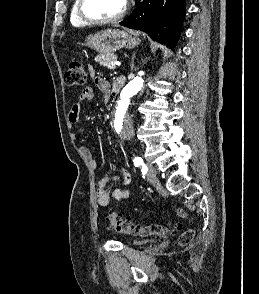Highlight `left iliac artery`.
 <instances>
[{
	"label": "left iliac artery",
	"mask_w": 259,
	"mask_h": 294,
	"mask_svg": "<svg viewBox=\"0 0 259 294\" xmlns=\"http://www.w3.org/2000/svg\"><path fill=\"white\" fill-rule=\"evenodd\" d=\"M133 162L136 167L141 166L142 170L147 171V166L143 163V159L141 157H135Z\"/></svg>",
	"instance_id": "left-iliac-artery-1"
}]
</instances>
